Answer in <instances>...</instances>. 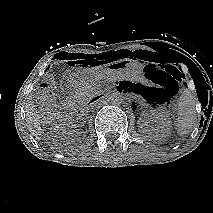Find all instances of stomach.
<instances>
[{"mask_svg": "<svg viewBox=\"0 0 213 213\" xmlns=\"http://www.w3.org/2000/svg\"><path fill=\"white\" fill-rule=\"evenodd\" d=\"M141 71L142 69L138 63L132 60H125L124 62H116L76 73L71 77V82L76 86H82L92 81H99L128 73H140Z\"/></svg>", "mask_w": 213, "mask_h": 213, "instance_id": "stomach-1", "label": "stomach"}]
</instances>
